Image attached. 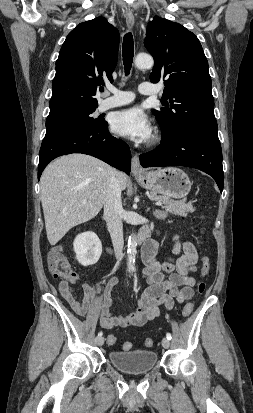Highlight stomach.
I'll return each mask as SVG.
<instances>
[{
  "mask_svg": "<svg viewBox=\"0 0 253 413\" xmlns=\"http://www.w3.org/2000/svg\"><path fill=\"white\" fill-rule=\"evenodd\" d=\"M136 179L143 188L175 199L184 198L191 189L187 174L176 167L149 171Z\"/></svg>",
  "mask_w": 253,
  "mask_h": 413,
  "instance_id": "1",
  "label": "stomach"
}]
</instances>
